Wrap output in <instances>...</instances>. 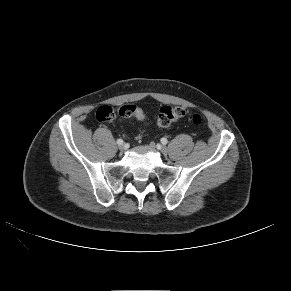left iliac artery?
<instances>
[{
	"label": "left iliac artery",
	"mask_w": 291,
	"mask_h": 291,
	"mask_svg": "<svg viewBox=\"0 0 291 291\" xmlns=\"http://www.w3.org/2000/svg\"><path fill=\"white\" fill-rule=\"evenodd\" d=\"M161 143H162L163 145H166V144L168 143V141H167L166 138H162V139H161Z\"/></svg>",
	"instance_id": "left-iliac-artery-1"
}]
</instances>
